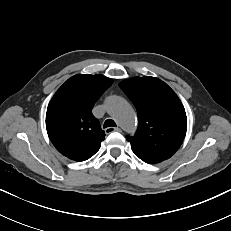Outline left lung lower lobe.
Segmentation results:
<instances>
[{"label":"left lung lower lobe","mask_w":231,"mask_h":231,"mask_svg":"<svg viewBox=\"0 0 231 231\" xmlns=\"http://www.w3.org/2000/svg\"><path fill=\"white\" fill-rule=\"evenodd\" d=\"M142 161L148 163V164H152V163H159L161 161H163V159H159V158H150V157H143V156H138Z\"/></svg>","instance_id":"obj_1"}]
</instances>
